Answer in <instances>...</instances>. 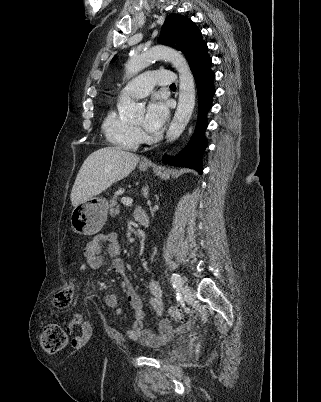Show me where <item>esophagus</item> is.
<instances>
[{
	"label": "esophagus",
	"instance_id": "34e87169",
	"mask_svg": "<svg viewBox=\"0 0 321 402\" xmlns=\"http://www.w3.org/2000/svg\"><path fill=\"white\" fill-rule=\"evenodd\" d=\"M142 163H144V164H149L150 162H149L147 159H143V160H142Z\"/></svg>",
	"mask_w": 321,
	"mask_h": 402
}]
</instances>
